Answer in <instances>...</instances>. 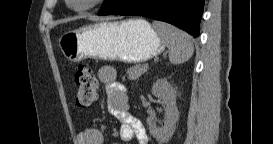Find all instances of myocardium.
Masks as SVG:
<instances>
[{"label": "myocardium", "mask_w": 273, "mask_h": 144, "mask_svg": "<svg viewBox=\"0 0 273 144\" xmlns=\"http://www.w3.org/2000/svg\"><path fill=\"white\" fill-rule=\"evenodd\" d=\"M106 1L107 0H88L85 4L81 6H76L75 11L77 12L89 11L103 5ZM70 2H72V0H70Z\"/></svg>", "instance_id": "myocardium-1"}]
</instances>
